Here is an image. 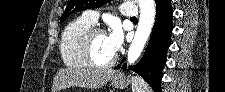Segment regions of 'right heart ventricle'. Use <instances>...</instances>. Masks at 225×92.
Here are the masks:
<instances>
[{
  "mask_svg": "<svg viewBox=\"0 0 225 92\" xmlns=\"http://www.w3.org/2000/svg\"><path fill=\"white\" fill-rule=\"evenodd\" d=\"M92 26L93 23L83 16L73 19L65 26L59 43L60 57L65 65L72 68L88 67L80 51V40Z\"/></svg>",
  "mask_w": 225,
  "mask_h": 92,
  "instance_id": "e07e8e85",
  "label": "right heart ventricle"
}]
</instances>
